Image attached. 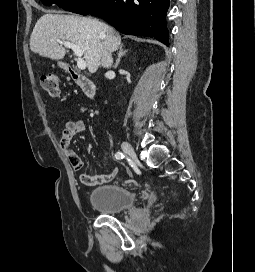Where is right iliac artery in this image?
<instances>
[{"mask_svg": "<svg viewBox=\"0 0 255 272\" xmlns=\"http://www.w3.org/2000/svg\"><path fill=\"white\" fill-rule=\"evenodd\" d=\"M115 158L116 159H123L124 158V154L122 153V152H117L116 154H115Z\"/></svg>", "mask_w": 255, "mask_h": 272, "instance_id": "right-iliac-artery-1", "label": "right iliac artery"}]
</instances>
